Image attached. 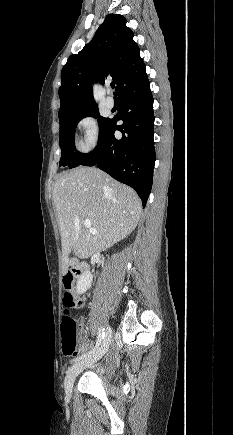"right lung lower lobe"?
<instances>
[{
  "instance_id": "1",
  "label": "right lung lower lobe",
  "mask_w": 233,
  "mask_h": 435,
  "mask_svg": "<svg viewBox=\"0 0 233 435\" xmlns=\"http://www.w3.org/2000/svg\"><path fill=\"white\" fill-rule=\"evenodd\" d=\"M121 113L110 119L97 147L80 164L98 166L114 179L129 185L145 207L153 182V97L146 72L125 84L119 94ZM123 120L122 125L116 122ZM115 130L122 133L120 140Z\"/></svg>"
}]
</instances>
